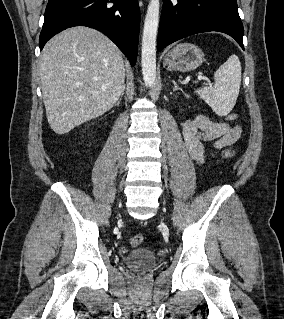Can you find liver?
Instances as JSON below:
<instances>
[{"mask_svg": "<svg viewBox=\"0 0 284 319\" xmlns=\"http://www.w3.org/2000/svg\"><path fill=\"white\" fill-rule=\"evenodd\" d=\"M40 78L48 123L61 135L116 104L125 87L124 60L102 33L73 27L44 47Z\"/></svg>", "mask_w": 284, "mask_h": 319, "instance_id": "6515ba94", "label": "liver"}]
</instances>
